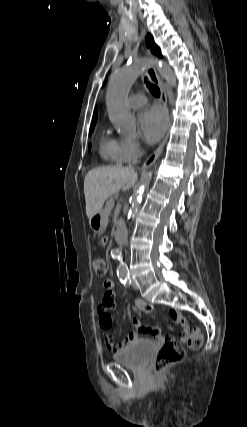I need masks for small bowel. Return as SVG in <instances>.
Masks as SVG:
<instances>
[{
  "label": "small bowel",
  "instance_id": "obj_1",
  "mask_svg": "<svg viewBox=\"0 0 247 427\" xmlns=\"http://www.w3.org/2000/svg\"><path fill=\"white\" fill-rule=\"evenodd\" d=\"M100 244H104V241H100ZM113 287H114L113 280L106 279L103 282V288L105 289V292H104L102 301L97 306L98 323H99V326L105 331L104 332L105 344L109 350L116 351L119 348H123L131 344L132 342L138 339L139 333L150 334L152 338L157 342L173 341L174 336L172 333L163 335L159 328L142 326L140 320L137 318H134L132 323L136 331L130 332L126 336L123 343L121 345H118L114 339L113 334L109 331L112 325V316L110 314V310L114 309L117 305V298L115 293L112 290ZM136 307L138 310L147 314L152 311V307L143 300H137ZM169 315L175 323H177L182 327L181 338L183 340L188 339L190 337L189 326L184 316L179 311H176V310H170Z\"/></svg>",
  "mask_w": 247,
  "mask_h": 427
}]
</instances>
